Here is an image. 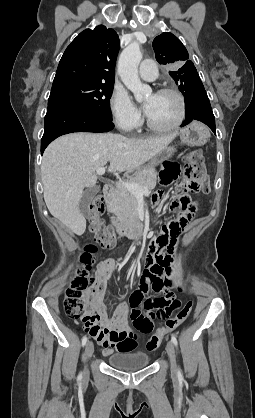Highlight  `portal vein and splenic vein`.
Masks as SVG:
<instances>
[{
    "label": "portal vein and splenic vein",
    "instance_id": "1",
    "mask_svg": "<svg viewBox=\"0 0 255 418\" xmlns=\"http://www.w3.org/2000/svg\"><path fill=\"white\" fill-rule=\"evenodd\" d=\"M96 172L100 176L104 175L105 167L98 168ZM118 186H122V187L126 188L131 193H133L134 195H141V194L149 192L148 189L145 188V187H141L138 184L125 182V181L118 182Z\"/></svg>",
    "mask_w": 255,
    "mask_h": 418
}]
</instances>
